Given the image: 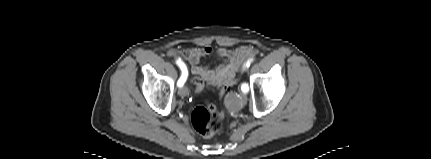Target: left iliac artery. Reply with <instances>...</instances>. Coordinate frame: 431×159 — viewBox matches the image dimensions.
<instances>
[{
	"label": "left iliac artery",
	"mask_w": 431,
	"mask_h": 159,
	"mask_svg": "<svg viewBox=\"0 0 431 159\" xmlns=\"http://www.w3.org/2000/svg\"><path fill=\"white\" fill-rule=\"evenodd\" d=\"M253 61V59H250L247 63H246V67H249L250 66V63ZM241 89H242V91L244 92V93H246V92H248V90H249V87H248V85L246 84V83H243L242 84V86H241Z\"/></svg>",
	"instance_id": "left-iliac-artery-1"
}]
</instances>
